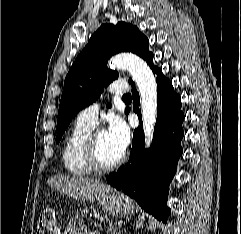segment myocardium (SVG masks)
<instances>
[{"instance_id":"f54148a6","label":"myocardium","mask_w":241,"mask_h":234,"mask_svg":"<svg viewBox=\"0 0 241 234\" xmlns=\"http://www.w3.org/2000/svg\"><path fill=\"white\" fill-rule=\"evenodd\" d=\"M98 131L101 130H92L88 135L85 145V157L87 163L91 166L93 170L98 172L111 171L120 166L125 161L126 155L122 153V155L116 161L109 164L103 163L98 153V144L96 140V135Z\"/></svg>"}]
</instances>
